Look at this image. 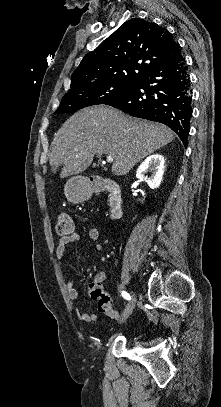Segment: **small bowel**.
I'll return each instance as SVG.
<instances>
[{
    "instance_id": "1",
    "label": "small bowel",
    "mask_w": 221,
    "mask_h": 407,
    "mask_svg": "<svg viewBox=\"0 0 221 407\" xmlns=\"http://www.w3.org/2000/svg\"><path fill=\"white\" fill-rule=\"evenodd\" d=\"M87 235L94 242H98L99 239H100V232L95 227L89 228L88 231H87ZM79 240H80V234L78 232H76V231H74L69 236L62 237L60 239L59 244H58V246L56 248V251H55L57 259L59 261H62L65 254H66V252H67L68 246L70 244L74 243V242L79 241ZM96 248L98 250L102 249L100 244H97ZM100 260L105 261L106 257L104 255H101ZM106 278H107V274L104 271H98L92 276V278L90 279V282L94 281V282H99V283L102 284L105 281ZM63 283H64V286H65V289H66V291L68 293L69 298L71 300H74V301L78 300L79 299V293H78L77 289L73 286V283L71 282V280L68 277H66L65 275H63ZM88 296H89V298L91 300H97L96 298H92L90 296V291L88 292ZM76 315L83 322L96 321L97 318H98L97 314L92 313V312H89V313L84 312L81 309H76Z\"/></svg>"
}]
</instances>
